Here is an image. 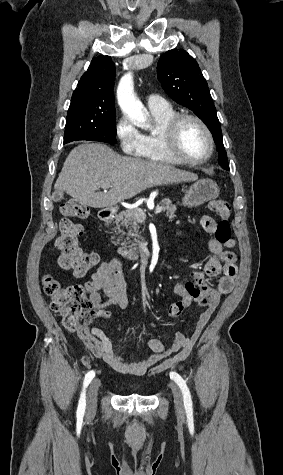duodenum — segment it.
I'll return each mask as SVG.
<instances>
[{"mask_svg":"<svg viewBox=\"0 0 283 475\" xmlns=\"http://www.w3.org/2000/svg\"><path fill=\"white\" fill-rule=\"evenodd\" d=\"M114 217V211L112 209H108V208H105V209H102L99 213V219L103 222H110ZM139 258L138 255L136 254H129L127 255V259L129 260H137Z\"/></svg>","mask_w":283,"mask_h":475,"instance_id":"1","label":"duodenum"}]
</instances>
